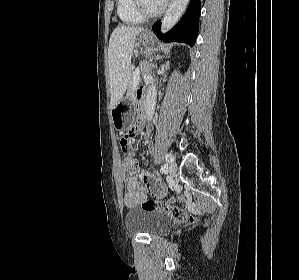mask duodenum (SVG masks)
Masks as SVG:
<instances>
[{
	"label": "duodenum",
	"instance_id": "duodenum-1",
	"mask_svg": "<svg viewBox=\"0 0 299 280\" xmlns=\"http://www.w3.org/2000/svg\"><path fill=\"white\" fill-rule=\"evenodd\" d=\"M137 98H138L139 110L141 112L142 117L145 119V103H144V100H143V95L138 94Z\"/></svg>",
	"mask_w": 299,
	"mask_h": 280
}]
</instances>
